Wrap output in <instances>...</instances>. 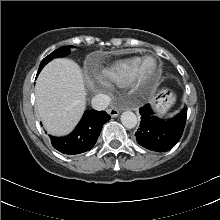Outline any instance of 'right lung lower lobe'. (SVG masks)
<instances>
[{
    "label": "right lung lower lobe",
    "instance_id": "98d812e1",
    "mask_svg": "<svg viewBox=\"0 0 220 220\" xmlns=\"http://www.w3.org/2000/svg\"><path fill=\"white\" fill-rule=\"evenodd\" d=\"M109 119L110 116L105 111H85L80 123L71 134L66 137L51 136L52 145L67 155L89 151L95 145L103 124Z\"/></svg>",
    "mask_w": 220,
    "mask_h": 220
}]
</instances>
